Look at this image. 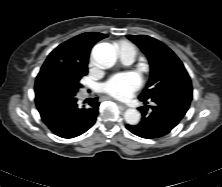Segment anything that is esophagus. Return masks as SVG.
<instances>
[{
    "label": "esophagus",
    "instance_id": "obj_1",
    "mask_svg": "<svg viewBox=\"0 0 222 187\" xmlns=\"http://www.w3.org/2000/svg\"><path fill=\"white\" fill-rule=\"evenodd\" d=\"M119 106H121L123 109H127L128 108V106L126 104H124V103H119Z\"/></svg>",
    "mask_w": 222,
    "mask_h": 187
}]
</instances>
